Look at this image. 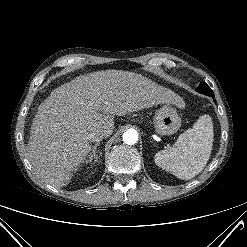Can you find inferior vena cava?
<instances>
[{"instance_id": "1", "label": "inferior vena cava", "mask_w": 247, "mask_h": 247, "mask_svg": "<svg viewBox=\"0 0 247 247\" xmlns=\"http://www.w3.org/2000/svg\"><path fill=\"white\" fill-rule=\"evenodd\" d=\"M104 137H106V133L99 129L88 134V140L91 142H100Z\"/></svg>"}]
</instances>
